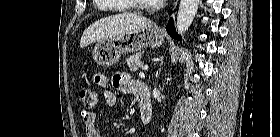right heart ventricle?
Segmentation results:
<instances>
[{
    "label": "right heart ventricle",
    "mask_w": 280,
    "mask_h": 137,
    "mask_svg": "<svg viewBox=\"0 0 280 137\" xmlns=\"http://www.w3.org/2000/svg\"><path fill=\"white\" fill-rule=\"evenodd\" d=\"M96 2H102V1H106V0H95ZM121 2H125V0H119ZM131 9L129 7L123 6L120 11H130Z\"/></svg>",
    "instance_id": "1"
}]
</instances>
